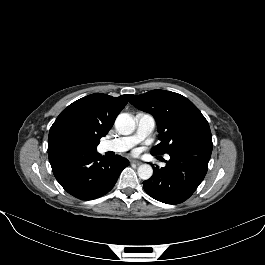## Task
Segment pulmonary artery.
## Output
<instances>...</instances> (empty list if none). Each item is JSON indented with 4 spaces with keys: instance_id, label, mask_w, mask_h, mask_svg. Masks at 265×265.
I'll return each mask as SVG.
<instances>
[{
    "instance_id": "pulmonary-artery-1",
    "label": "pulmonary artery",
    "mask_w": 265,
    "mask_h": 265,
    "mask_svg": "<svg viewBox=\"0 0 265 265\" xmlns=\"http://www.w3.org/2000/svg\"><path fill=\"white\" fill-rule=\"evenodd\" d=\"M154 128L155 119L152 115L138 114L136 117V130L132 135L106 141L101 145V150L104 152H124L145 139ZM169 158V155H166V159Z\"/></svg>"
}]
</instances>
